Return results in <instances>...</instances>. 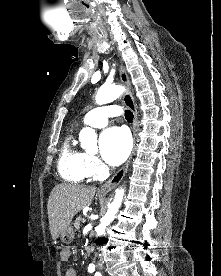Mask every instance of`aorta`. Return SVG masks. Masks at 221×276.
<instances>
[{
  "instance_id": "762f6f07",
  "label": "aorta",
  "mask_w": 221,
  "mask_h": 276,
  "mask_svg": "<svg viewBox=\"0 0 221 276\" xmlns=\"http://www.w3.org/2000/svg\"><path fill=\"white\" fill-rule=\"evenodd\" d=\"M124 91V87L119 85L102 86L95 97L97 104L102 105L110 103L117 99ZM79 140L82 147L89 148L95 146L97 143V134L92 128L86 127L80 131ZM125 190L119 188L115 191V197L112 203L108 205V211L102 217L100 224L96 228L97 235H101L106 227L114 220L116 213L118 212Z\"/></svg>"
}]
</instances>
